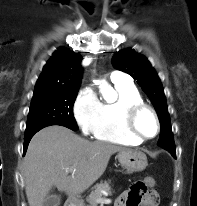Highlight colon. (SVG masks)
I'll return each instance as SVG.
<instances>
[{"mask_svg":"<svg viewBox=\"0 0 197 206\" xmlns=\"http://www.w3.org/2000/svg\"><path fill=\"white\" fill-rule=\"evenodd\" d=\"M155 186V180L152 178H147L145 180H140L135 182L129 190L128 203L129 206H139L144 200L148 189Z\"/></svg>","mask_w":197,"mask_h":206,"instance_id":"5ec220e1","label":"colon"}]
</instances>
